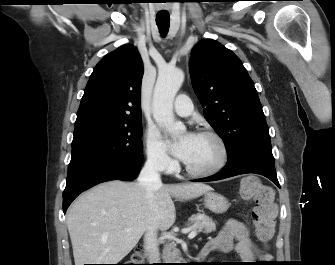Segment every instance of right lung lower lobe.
Instances as JSON below:
<instances>
[{"label": "right lung lower lobe", "instance_id": "right-lung-lower-lobe-1", "mask_svg": "<svg viewBox=\"0 0 335 265\" xmlns=\"http://www.w3.org/2000/svg\"><path fill=\"white\" fill-rule=\"evenodd\" d=\"M141 162L132 164L91 163L68 172L63 192V211L66 213L71 202L83 191L110 180H130L140 170Z\"/></svg>", "mask_w": 335, "mask_h": 265}]
</instances>
